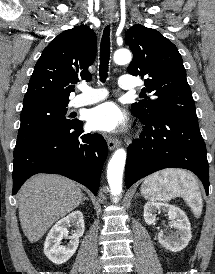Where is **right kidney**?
<instances>
[{
  "label": "right kidney",
  "instance_id": "1",
  "mask_svg": "<svg viewBox=\"0 0 215 274\" xmlns=\"http://www.w3.org/2000/svg\"><path fill=\"white\" fill-rule=\"evenodd\" d=\"M73 225L75 231L72 236H68L67 227ZM85 224L81 211H74L66 217L60 219L49 231L45 243L44 253L53 263L60 265L68 261L78 248L79 238L83 236ZM66 238L69 243L61 245V241Z\"/></svg>",
  "mask_w": 215,
  "mask_h": 274
}]
</instances>
